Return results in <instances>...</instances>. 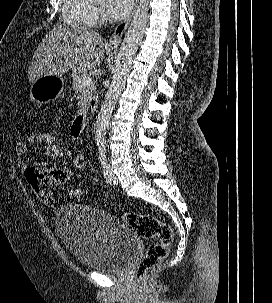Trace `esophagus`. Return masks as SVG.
<instances>
[{"mask_svg": "<svg viewBox=\"0 0 272 303\" xmlns=\"http://www.w3.org/2000/svg\"><path fill=\"white\" fill-rule=\"evenodd\" d=\"M138 2H139V0H135V7H134L132 14L125 21L119 23L116 26V28L114 29L113 34L108 42V45L110 47H117L121 43L123 35H124L127 27L129 26L130 21L133 17V14L138 6Z\"/></svg>", "mask_w": 272, "mask_h": 303, "instance_id": "34e87169", "label": "esophagus"}]
</instances>
